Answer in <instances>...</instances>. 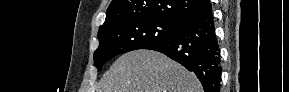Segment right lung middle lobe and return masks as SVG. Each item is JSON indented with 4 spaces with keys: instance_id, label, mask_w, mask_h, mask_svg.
Segmentation results:
<instances>
[{
    "instance_id": "obj_1",
    "label": "right lung middle lobe",
    "mask_w": 289,
    "mask_h": 92,
    "mask_svg": "<svg viewBox=\"0 0 289 92\" xmlns=\"http://www.w3.org/2000/svg\"><path fill=\"white\" fill-rule=\"evenodd\" d=\"M180 27L174 22L158 17L124 20L98 31L99 47L94 52L98 71L116 55L159 43L172 37Z\"/></svg>"
}]
</instances>
